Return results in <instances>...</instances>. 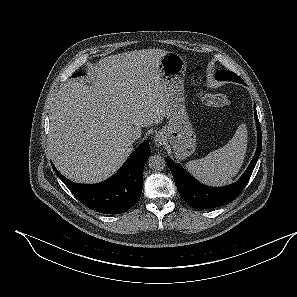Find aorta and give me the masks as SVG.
Here are the masks:
<instances>
[{"mask_svg": "<svg viewBox=\"0 0 297 297\" xmlns=\"http://www.w3.org/2000/svg\"><path fill=\"white\" fill-rule=\"evenodd\" d=\"M148 166L152 171H161L165 168V159L160 155H153L148 159Z\"/></svg>", "mask_w": 297, "mask_h": 297, "instance_id": "aorta-1", "label": "aorta"}]
</instances>
